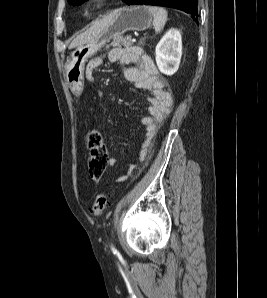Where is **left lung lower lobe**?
Masks as SVG:
<instances>
[{"label": "left lung lower lobe", "mask_w": 267, "mask_h": 298, "mask_svg": "<svg viewBox=\"0 0 267 298\" xmlns=\"http://www.w3.org/2000/svg\"><path fill=\"white\" fill-rule=\"evenodd\" d=\"M128 5H156L182 10L191 14L195 22H198L197 0H127Z\"/></svg>", "instance_id": "obj_1"}]
</instances>
